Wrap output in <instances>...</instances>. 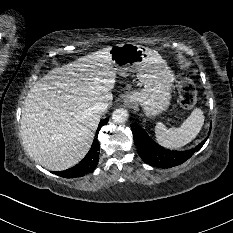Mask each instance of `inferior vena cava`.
<instances>
[{
  "label": "inferior vena cava",
  "instance_id": "obj_1",
  "mask_svg": "<svg viewBox=\"0 0 233 233\" xmlns=\"http://www.w3.org/2000/svg\"><path fill=\"white\" fill-rule=\"evenodd\" d=\"M108 106H109L108 102L99 101L93 106V110H94V112L101 114L107 110Z\"/></svg>",
  "mask_w": 233,
  "mask_h": 233
}]
</instances>
